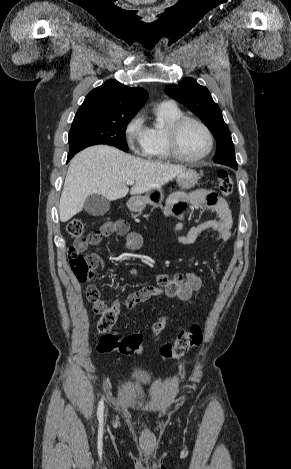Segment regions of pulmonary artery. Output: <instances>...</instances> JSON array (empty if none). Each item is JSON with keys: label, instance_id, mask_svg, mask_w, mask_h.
I'll list each match as a JSON object with an SVG mask.
<instances>
[{"label": "pulmonary artery", "instance_id": "e3ab8cb5", "mask_svg": "<svg viewBox=\"0 0 291 469\" xmlns=\"http://www.w3.org/2000/svg\"><path fill=\"white\" fill-rule=\"evenodd\" d=\"M165 103H171V104H173V102H172V101H168V102H165Z\"/></svg>", "mask_w": 291, "mask_h": 469}]
</instances>
